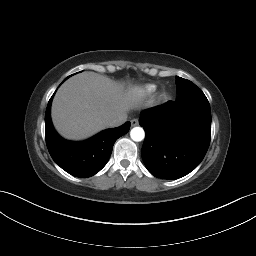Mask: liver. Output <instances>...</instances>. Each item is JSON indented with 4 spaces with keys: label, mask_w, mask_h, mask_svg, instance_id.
Listing matches in <instances>:
<instances>
[{
    "label": "liver",
    "mask_w": 256,
    "mask_h": 256,
    "mask_svg": "<svg viewBox=\"0 0 256 256\" xmlns=\"http://www.w3.org/2000/svg\"><path fill=\"white\" fill-rule=\"evenodd\" d=\"M142 104L143 99L135 89L94 72H83L58 89L51 117L59 134L81 140L109 127L112 120ZM151 104L149 100L145 106Z\"/></svg>",
    "instance_id": "1"
}]
</instances>
